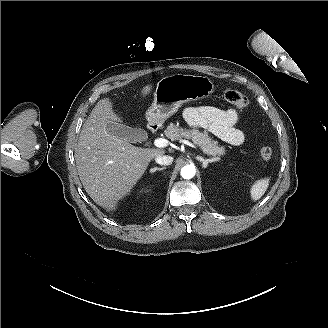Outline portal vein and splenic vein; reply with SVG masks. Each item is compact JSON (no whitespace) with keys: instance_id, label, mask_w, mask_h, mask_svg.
<instances>
[{"instance_id":"1","label":"portal vein and splenic vein","mask_w":328,"mask_h":328,"mask_svg":"<svg viewBox=\"0 0 328 328\" xmlns=\"http://www.w3.org/2000/svg\"><path fill=\"white\" fill-rule=\"evenodd\" d=\"M182 142L190 145V146H194V143L193 142H189L187 141V139H182ZM153 145L155 147H158V148H163L167 145V140L166 139H163V138H156L154 139L153 141Z\"/></svg>"}]
</instances>
